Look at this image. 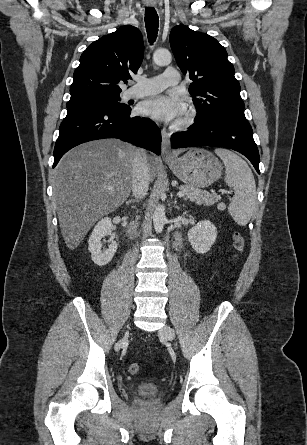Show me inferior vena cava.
<instances>
[{
	"label": "inferior vena cava",
	"instance_id": "602c4592",
	"mask_svg": "<svg viewBox=\"0 0 307 445\" xmlns=\"http://www.w3.org/2000/svg\"><path fill=\"white\" fill-rule=\"evenodd\" d=\"M150 174L147 166V154L144 148H136L133 158L132 190L136 198H143L147 194Z\"/></svg>",
	"mask_w": 307,
	"mask_h": 445
}]
</instances>
